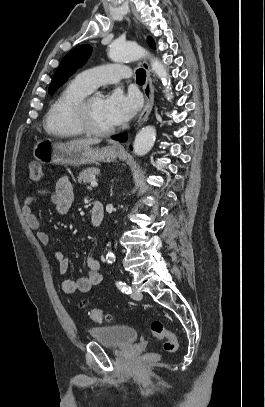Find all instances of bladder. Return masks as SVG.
<instances>
[{
  "mask_svg": "<svg viewBox=\"0 0 265 407\" xmlns=\"http://www.w3.org/2000/svg\"><path fill=\"white\" fill-rule=\"evenodd\" d=\"M88 333L93 340L118 349L132 345L139 336L136 329L125 325L92 327Z\"/></svg>",
  "mask_w": 265,
  "mask_h": 407,
  "instance_id": "31cf9c89",
  "label": "bladder"
}]
</instances>
